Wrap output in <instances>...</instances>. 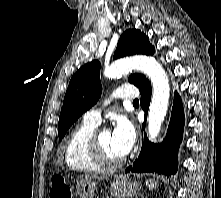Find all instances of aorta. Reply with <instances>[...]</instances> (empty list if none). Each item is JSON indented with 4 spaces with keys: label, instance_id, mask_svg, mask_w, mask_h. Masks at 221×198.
Returning a JSON list of instances; mask_svg holds the SVG:
<instances>
[{
    "label": "aorta",
    "instance_id": "aorta-1",
    "mask_svg": "<svg viewBox=\"0 0 221 198\" xmlns=\"http://www.w3.org/2000/svg\"><path fill=\"white\" fill-rule=\"evenodd\" d=\"M132 69L145 73L153 85V95L148 112V136L156 140L167 112L170 96L168 77L163 67L148 56H134L114 62L106 67L104 76L112 79L130 72Z\"/></svg>",
    "mask_w": 221,
    "mask_h": 198
}]
</instances>
